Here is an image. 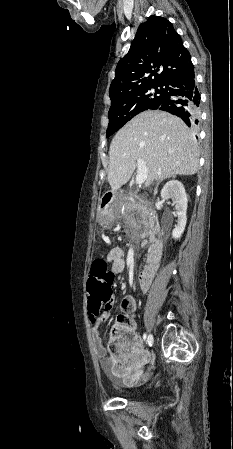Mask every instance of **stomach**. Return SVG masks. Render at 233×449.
<instances>
[{
	"label": "stomach",
	"mask_w": 233,
	"mask_h": 449,
	"mask_svg": "<svg viewBox=\"0 0 233 449\" xmlns=\"http://www.w3.org/2000/svg\"><path fill=\"white\" fill-rule=\"evenodd\" d=\"M120 212H121V204L118 201V198H116L115 204L113 206H110L108 210H102L100 208L98 217L101 223L110 224L119 218Z\"/></svg>",
	"instance_id": "stomach-1"
}]
</instances>
